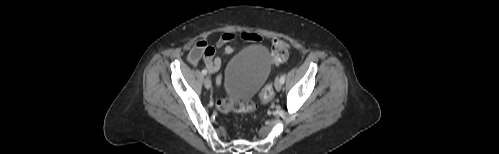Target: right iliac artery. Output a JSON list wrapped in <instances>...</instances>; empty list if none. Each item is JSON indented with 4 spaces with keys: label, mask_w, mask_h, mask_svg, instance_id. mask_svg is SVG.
Instances as JSON below:
<instances>
[{
    "label": "right iliac artery",
    "mask_w": 499,
    "mask_h": 154,
    "mask_svg": "<svg viewBox=\"0 0 499 154\" xmlns=\"http://www.w3.org/2000/svg\"><path fill=\"white\" fill-rule=\"evenodd\" d=\"M202 74H203V75H206V74H207V70L203 69V70H202Z\"/></svg>",
    "instance_id": "82829eb1"
}]
</instances>
